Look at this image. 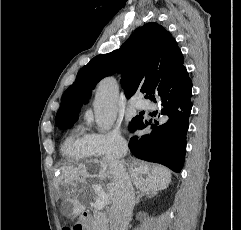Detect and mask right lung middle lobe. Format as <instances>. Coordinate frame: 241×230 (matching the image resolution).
Here are the masks:
<instances>
[{
  "label": "right lung middle lobe",
  "mask_w": 241,
  "mask_h": 230,
  "mask_svg": "<svg viewBox=\"0 0 241 230\" xmlns=\"http://www.w3.org/2000/svg\"><path fill=\"white\" fill-rule=\"evenodd\" d=\"M140 118H141L140 116H136L135 118H133V119L131 120L129 129H130L133 125H135L136 122H137Z\"/></svg>",
  "instance_id": "1"
}]
</instances>
